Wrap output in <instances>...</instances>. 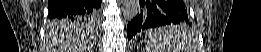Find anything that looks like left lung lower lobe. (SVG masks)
I'll use <instances>...</instances> for the list:
<instances>
[{"instance_id":"left-lung-lower-lobe-1","label":"left lung lower lobe","mask_w":261,"mask_h":52,"mask_svg":"<svg viewBox=\"0 0 261 52\" xmlns=\"http://www.w3.org/2000/svg\"><path fill=\"white\" fill-rule=\"evenodd\" d=\"M139 3V13L127 26L128 39L141 30L170 24H180L186 34L189 32L186 25L190 22L183 0H139Z\"/></svg>"}]
</instances>
